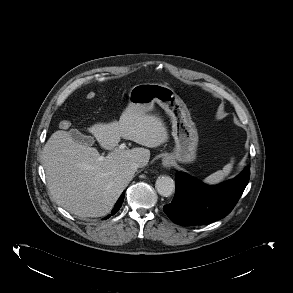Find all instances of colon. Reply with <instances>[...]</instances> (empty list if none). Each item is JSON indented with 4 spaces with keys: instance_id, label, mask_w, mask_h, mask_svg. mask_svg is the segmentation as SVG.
Returning <instances> with one entry per match:
<instances>
[{
    "instance_id": "5ec220e1",
    "label": "colon",
    "mask_w": 293,
    "mask_h": 293,
    "mask_svg": "<svg viewBox=\"0 0 293 293\" xmlns=\"http://www.w3.org/2000/svg\"><path fill=\"white\" fill-rule=\"evenodd\" d=\"M86 98H87L88 100H92V99H94V98H95V92H93V91L88 92L87 95H86ZM70 126H71V123H70L68 120H64V121H62V122L60 123V127H61L62 129H68V128H70Z\"/></svg>"
}]
</instances>
